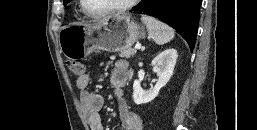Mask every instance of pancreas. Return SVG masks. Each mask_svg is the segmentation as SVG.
Masks as SVG:
<instances>
[{"label": "pancreas", "instance_id": "1", "mask_svg": "<svg viewBox=\"0 0 257 130\" xmlns=\"http://www.w3.org/2000/svg\"><path fill=\"white\" fill-rule=\"evenodd\" d=\"M135 50L132 48L122 49L120 50L119 56L122 58H130L131 56L135 55Z\"/></svg>", "mask_w": 257, "mask_h": 130}]
</instances>
